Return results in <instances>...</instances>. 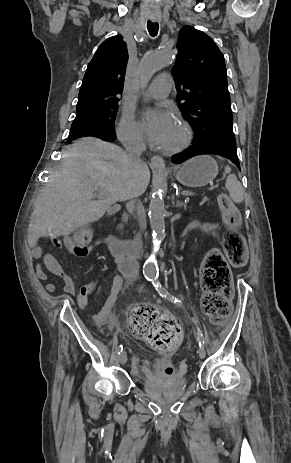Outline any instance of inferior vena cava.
<instances>
[{"instance_id":"602c4592","label":"inferior vena cava","mask_w":291,"mask_h":463,"mask_svg":"<svg viewBox=\"0 0 291 463\" xmlns=\"http://www.w3.org/2000/svg\"><path fill=\"white\" fill-rule=\"evenodd\" d=\"M122 144L126 149V156L130 163L138 164L141 162L140 155L146 149V145L140 134L134 133L122 140ZM134 204L138 215V221L141 231L144 232L146 224L143 218V206L138 199V195L134 196Z\"/></svg>"}]
</instances>
